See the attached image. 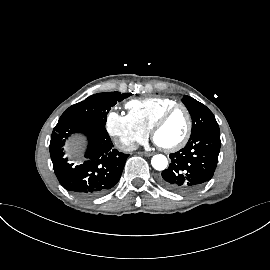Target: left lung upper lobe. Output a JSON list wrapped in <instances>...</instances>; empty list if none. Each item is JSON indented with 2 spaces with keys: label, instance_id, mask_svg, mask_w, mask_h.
Here are the masks:
<instances>
[{
  "label": "left lung upper lobe",
  "instance_id": "left-lung-upper-lobe-1",
  "mask_svg": "<svg viewBox=\"0 0 270 270\" xmlns=\"http://www.w3.org/2000/svg\"><path fill=\"white\" fill-rule=\"evenodd\" d=\"M182 102L192 118L190 139L205 132L220 133L218 123L213 113L205 105L190 96H184Z\"/></svg>",
  "mask_w": 270,
  "mask_h": 270
}]
</instances>
